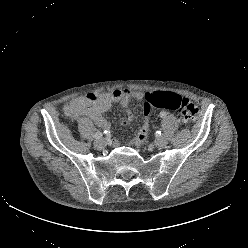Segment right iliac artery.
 <instances>
[{"label":"right iliac artery","instance_id":"82829eb1","mask_svg":"<svg viewBox=\"0 0 248 248\" xmlns=\"http://www.w3.org/2000/svg\"><path fill=\"white\" fill-rule=\"evenodd\" d=\"M102 137V133L101 132H96L95 133V138L96 139H99V138H101Z\"/></svg>","mask_w":248,"mask_h":248}]
</instances>
